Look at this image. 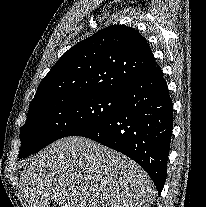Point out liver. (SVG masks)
Here are the masks:
<instances>
[{"mask_svg":"<svg viewBox=\"0 0 206 207\" xmlns=\"http://www.w3.org/2000/svg\"><path fill=\"white\" fill-rule=\"evenodd\" d=\"M20 187L29 207H152L155 186L133 160L69 136L25 162Z\"/></svg>","mask_w":206,"mask_h":207,"instance_id":"liver-1","label":"liver"}]
</instances>
